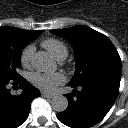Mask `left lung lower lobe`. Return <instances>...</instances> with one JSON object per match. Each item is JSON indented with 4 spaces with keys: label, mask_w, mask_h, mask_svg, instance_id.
<instances>
[{
    "label": "left lung lower lobe",
    "mask_w": 128,
    "mask_h": 128,
    "mask_svg": "<svg viewBox=\"0 0 128 128\" xmlns=\"http://www.w3.org/2000/svg\"><path fill=\"white\" fill-rule=\"evenodd\" d=\"M120 80L121 74L97 72L81 83H69L74 90L65 95L68 108L57 118L71 128H89L99 123L117 98Z\"/></svg>",
    "instance_id": "obj_1"
}]
</instances>
